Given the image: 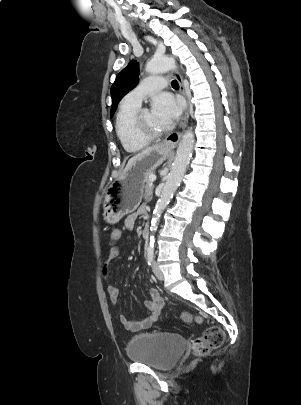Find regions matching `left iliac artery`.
<instances>
[{
  "label": "left iliac artery",
  "instance_id": "1",
  "mask_svg": "<svg viewBox=\"0 0 301 405\" xmlns=\"http://www.w3.org/2000/svg\"><path fill=\"white\" fill-rule=\"evenodd\" d=\"M153 257H154V248H153V246H149L147 248V260H148L149 265H151V263L153 261Z\"/></svg>",
  "mask_w": 301,
  "mask_h": 405
}]
</instances>
